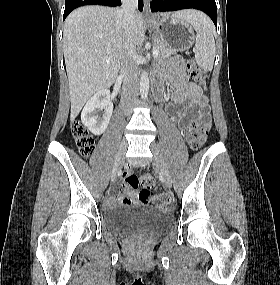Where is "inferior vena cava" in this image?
<instances>
[{
	"instance_id": "1",
	"label": "inferior vena cava",
	"mask_w": 280,
	"mask_h": 285,
	"mask_svg": "<svg viewBox=\"0 0 280 285\" xmlns=\"http://www.w3.org/2000/svg\"><path fill=\"white\" fill-rule=\"evenodd\" d=\"M138 0H122L121 13L125 26L126 42L121 59V73L123 75V86L121 103L124 111L129 113L130 105L138 95V64L136 63V48L133 39L135 27V14Z\"/></svg>"
}]
</instances>
